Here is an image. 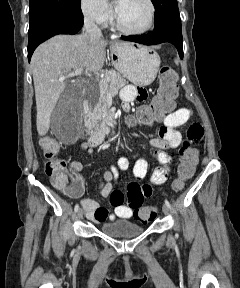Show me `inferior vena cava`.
<instances>
[{
	"mask_svg": "<svg viewBox=\"0 0 240 288\" xmlns=\"http://www.w3.org/2000/svg\"><path fill=\"white\" fill-rule=\"evenodd\" d=\"M84 30L90 38H101L102 33L100 28L96 25L95 19L88 15L84 18Z\"/></svg>",
	"mask_w": 240,
	"mask_h": 288,
	"instance_id": "1",
	"label": "inferior vena cava"
}]
</instances>
